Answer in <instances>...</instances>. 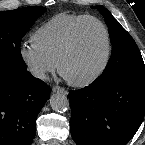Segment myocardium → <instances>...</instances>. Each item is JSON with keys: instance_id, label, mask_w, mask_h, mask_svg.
<instances>
[{"instance_id": "1", "label": "myocardium", "mask_w": 145, "mask_h": 145, "mask_svg": "<svg viewBox=\"0 0 145 145\" xmlns=\"http://www.w3.org/2000/svg\"><path fill=\"white\" fill-rule=\"evenodd\" d=\"M87 21H93V22L97 23L103 29L104 34H105V40H106L105 57H104V60L101 63V65L98 67V69L95 72H93L90 76H88L82 80H70L63 75L62 65L65 62V60L71 55L73 50L75 49V46L77 44L78 32H79L81 26ZM111 56H112V39H111L110 31H109L107 25L102 20H100L99 18H97L95 16L86 15V16L82 17L81 19H79L77 21V23L71 29L68 41H67L65 47L63 48L62 52L60 53V55L57 59L56 65H57V69H58V72L60 73V75L70 85H72L74 87L82 88V87L91 85L92 83H94L96 80H98L103 75V73L106 71V69L110 63Z\"/></svg>"}]
</instances>
